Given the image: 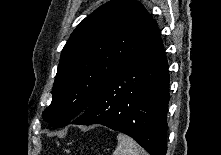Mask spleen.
Instances as JSON below:
<instances>
[{"label": "spleen", "instance_id": "3e777b00", "mask_svg": "<svg viewBox=\"0 0 221 155\" xmlns=\"http://www.w3.org/2000/svg\"><path fill=\"white\" fill-rule=\"evenodd\" d=\"M117 147L112 155H148L132 138L119 133L117 135Z\"/></svg>", "mask_w": 221, "mask_h": 155}]
</instances>
